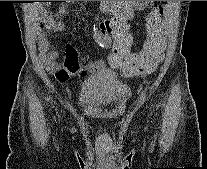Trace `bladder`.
Wrapping results in <instances>:
<instances>
[{"mask_svg":"<svg viewBox=\"0 0 207 169\" xmlns=\"http://www.w3.org/2000/svg\"><path fill=\"white\" fill-rule=\"evenodd\" d=\"M130 88L112 72L86 79L81 84L79 103L83 107L114 104L122 107L129 100Z\"/></svg>","mask_w":207,"mask_h":169,"instance_id":"obj_1","label":"bladder"}]
</instances>
